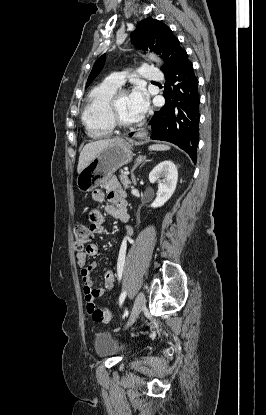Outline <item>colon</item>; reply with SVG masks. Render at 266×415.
Masks as SVG:
<instances>
[{"instance_id": "1", "label": "colon", "mask_w": 266, "mask_h": 415, "mask_svg": "<svg viewBox=\"0 0 266 415\" xmlns=\"http://www.w3.org/2000/svg\"><path fill=\"white\" fill-rule=\"evenodd\" d=\"M74 234V244L78 250H81L89 245L93 238V230L90 226L84 224L76 226ZM90 313L93 320L96 322L107 323L111 319V311L108 308H94Z\"/></svg>"}]
</instances>
